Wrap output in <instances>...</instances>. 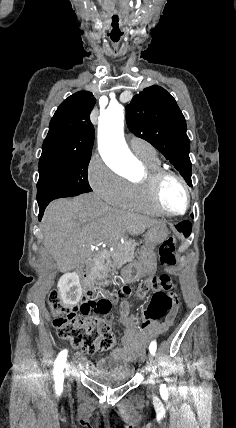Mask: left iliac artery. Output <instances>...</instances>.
<instances>
[{
  "instance_id": "44dca946",
  "label": "left iliac artery",
  "mask_w": 236,
  "mask_h": 428,
  "mask_svg": "<svg viewBox=\"0 0 236 428\" xmlns=\"http://www.w3.org/2000/svg\"><path fill=\"white\" fill-rule=\"evenodd\" d=\"M157 349L156 341H152L149 346L150 353L154 356Z\"/></svg>"
}]
</instances>
